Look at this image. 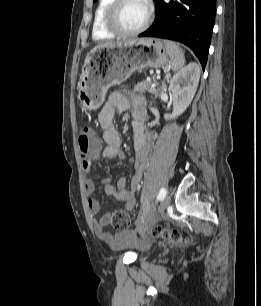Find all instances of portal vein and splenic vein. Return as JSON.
<instances>
[{
	"label": "portal vein and splenic vein",
	"mask_w": 261,
	"mask_h": 306,
	"mask_svg": "<svg viewBox=\"0 0 261 306\" xmlns=\"http://www.w3.org/2000/svg\"><path fill=\"white\" fill-rule=\"evenodd\" d=\"M156 86V84H152V87H155Z\"/></svg>",
	"instance_id": "1"
}]
</instances>
